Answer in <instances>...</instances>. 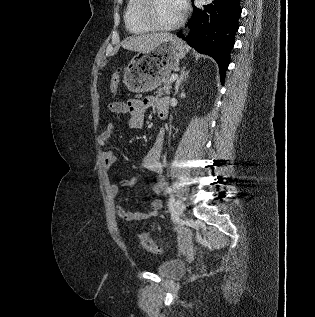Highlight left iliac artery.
Here are the masks:
<instances>
[{
  "mask_svg": "<svg viewBox=\"0 0 315 317\" xmlns=\"http://www.w3.org/2000/svg\"><path fill=\"white\" fill-rule=\"evenodd\" d=\"M172 188L171 187H168L166 188V193L170 194L171 195V198H170V203L172 204L174 202V196L172 194Z\"/></svg>",
  "mask_w": 315,
  "mask_h": 317,
  "instance_id": "left-iliac-artery-1",
  "label": "left iliac artery"
}]
</instances>
